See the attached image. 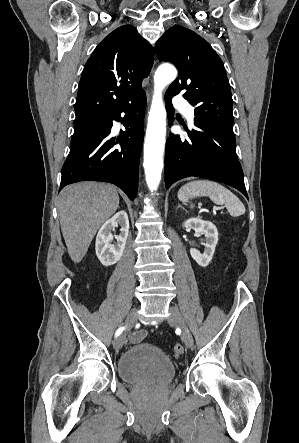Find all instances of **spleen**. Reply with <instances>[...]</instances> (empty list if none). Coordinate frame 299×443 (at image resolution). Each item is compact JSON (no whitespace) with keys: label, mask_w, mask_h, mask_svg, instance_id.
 Returning a JSON list of instances; mask_svg holds the SVG:
<instances>
[{"label":"spleen","mask_w":299,"mask_h":443,"mask_svg":"<svg viewBox=\"0 0 299 443\" xmlns=\"http://www.w3.org/2000/svg\"><path fill=\"white\" fill-rule=\"evenodd\" d=\"M207 196L218 205H225L229 214L233 217L241 216L245 213V207L239 198L230 190L209 180H196L183 185L178 191V199L187 203L190 199ZM194 205L191 204V208Z\"/></svg>","instance_id":"spleen-1"}]
</instances>
